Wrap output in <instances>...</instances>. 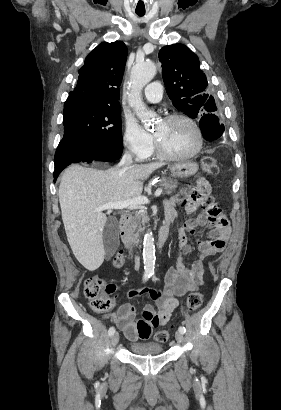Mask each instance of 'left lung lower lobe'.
I'll use <instances>...</instances> for the list:
<instances>
[{
  "mask_svg": "<svg viewBox=\"0 0 281 410\" xmlns=\"http://www.w3.org/2000/svg\"><path fill=\"white\" fill-rule=\"evenodd\" d=\"M200 129L207 141H213L218 139L224 130V125L219 123V119L216 115H204L199 122Z\"/></svg>",
  "mask_w": 281,
  "mask_h": 410,
  "instance_id": "obj_1",
  "label": "left lung lower lobe"
}]
</instances>
